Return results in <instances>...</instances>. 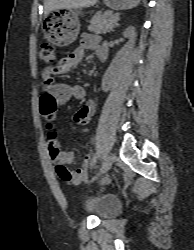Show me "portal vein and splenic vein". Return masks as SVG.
Returning a JSON list of instances; mask_svg holds the SVG:
<instances>
[{
  "label": "portal vein and splenic vein",
  "instance_id": "portal-vein-and-splenic-vein-1",
  "mask_svg": "<svg viewBox=\"0 0 194 250\" xmlns=\"http://www.w3.org/2000/svg\"><path fill=\"white\" fill-rule=\"evenodd\" d=\"M114 21H119V17L118 16H115V18H114Z\"/></svg>",
  "mask_w": 194,
  "mask_h": 250
}]
</instances>
